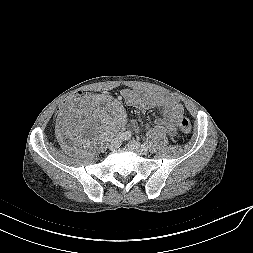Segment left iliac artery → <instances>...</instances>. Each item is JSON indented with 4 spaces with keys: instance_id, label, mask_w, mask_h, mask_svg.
Returning <instances> with one entry per match:
<instances>
[{
    "instance_id": "44dca946",
    "label": "left iliac artery",
    "mask_w": 253,
    "mask_h": 253,
    "mask_svg": "<svg viewBox=\"0 0 253 253\" xmlns=\"http://www.w3.org/2000/svg\"><path fill=\"white\" fill-rule=\"evenodd\" d=\"M144 146H145V147H149V146H150V142H148V141L145 142V143H144Z\"/></svg>"
}]
</instances>
